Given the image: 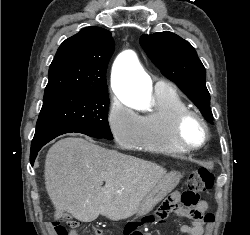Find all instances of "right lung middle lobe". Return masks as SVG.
<instances>
[{"instance_id": "dd1d6c3e", "label": "right lung middle lobe", "mask_w": 250, "mask_h": 235, "mask_svg": "<svg viewBox=\"0 0 250 235\" xmlns=\"http://www.w3.org/2000/svg\"><path fill=\"white\" fill-rule=\"evenodd\" d=\"M36 130L66 126L99 138L113 139L108 125L109 97L101 91H66L43 98Z\"/></svg>"}]
</instances>
